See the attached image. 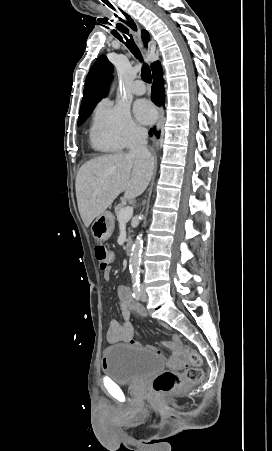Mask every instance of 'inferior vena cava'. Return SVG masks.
I'll return each mask as SVG.
<instances>
[{
    "label": "inferior vena cava",
    "instance_id": "obj_1",
    "mask_svg": "<svg viewBox=\"0 0 272 451\" xmlns=\"http://www.w3.org/2000/svg\"><path fill=\"white\" fill-rule=\"evenodd\" d=\"M147 130H138L130 144V156H137V158H144V160H151L152 156L147 150Z\"/></svg>",
    "mask_w": 272,
    "mask_h": 451
}]
</instances>
